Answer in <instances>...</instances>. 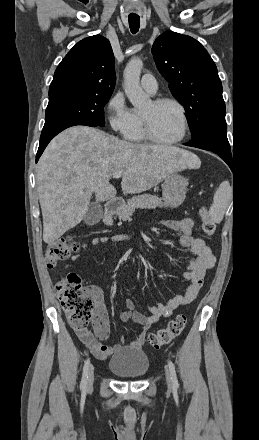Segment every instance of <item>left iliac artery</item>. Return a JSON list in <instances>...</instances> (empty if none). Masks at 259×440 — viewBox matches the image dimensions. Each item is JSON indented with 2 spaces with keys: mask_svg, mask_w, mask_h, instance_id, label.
Masks as SVG:
<instances>
[{
  "mask_svg": "<svg viewBox=\"0 0 259 440\" xmlns=\"http://www.w3.org/2000/svg\"><path fill=\"white\" fill-rule=\"evenodd\" d=\"M168 366H169V370H170V373H171V379H172V383H173V388L177 389L179 387V384H178V379H177V375H176V371H175V366L172 363V361H170V360L168 361Z\"/></svg>",
  "mask_w": 259,
  "mask_h": 440,
  "instance_id": "1",
  "label": "left iliac artery"
}]
</instances>
